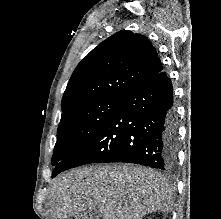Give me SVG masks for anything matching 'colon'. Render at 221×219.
Here are the masks:
<instances>
[{"instance_id": "1", "label": "colon", "mask_w": 221, "mask_h": 219, "mask_svg": "<svg viewBox=\"0 0 221 219\" xmlns=\"http://www.w3.org/2000/svg\"><path fill=\"white\" fill-rule=\"evenodd\" d=\"M73 219H83V218L81 216H77V217H75Z\"/></svg>"}]
</instances>
